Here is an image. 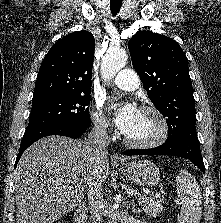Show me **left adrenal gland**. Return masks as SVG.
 Returning a JSON list of instances; mask_svg holds the SVG:
<instances>
[{"mask_svg":"<svg viewBox=\"0 0 221 223\" xmlns=\"http://www.w3.org/2000/svg\"><path fill=\"white\" fill-rule=\"evenodd\" d=\"M131 212L134 214H138L141 212V210L139 208H136L135 206L132 207Z\"/></svg>","mask_w":221,"mask_h":223,"instance_id":"obj_1","label":"left adrenal gland"}]
</instances>
